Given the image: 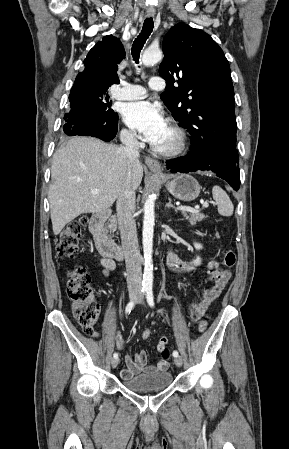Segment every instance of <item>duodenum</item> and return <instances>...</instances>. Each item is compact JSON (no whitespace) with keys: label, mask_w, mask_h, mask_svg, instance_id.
<instances>
[{"label":"duodenum","mask_w":289,"mask_h":449,"mask_svg":"<svg viewBox=\"0 0 289 449\" xmlns=\"http://www.w3.org/2000/svg\"><path fill=\"white\" fill-rule=\"evenodd\" d=\"M110 215L109 209L95 213L90 220L89 229L97 249L105 258L122 259L124 256L123 248L116 244L105 231V222Z\"/></svg>","instance_id":"410a0bca"}]
</instances>
